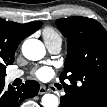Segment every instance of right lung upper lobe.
<instances>
[{
  "label": "right lung upper lobe",
  "mask_w": 107,
  "mask_h": 107,
  "mask_svg": "<svg viewBox=\"0 0 107 107\" xmlns=\"http://www.w3.org/2000/svg\"><path fill=\"white\" fill-rule=\"evenodd\" d=\"M41 22L18 24L0 20V74L14 61V53L20 41L41 27Z\"/></svg>",
  "instance_id": "obj_1"
}]
</instances>
